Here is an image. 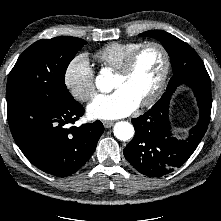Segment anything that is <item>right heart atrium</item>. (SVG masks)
Returning <instances> with one entry per match:
<instances>
[{"label": "right heart atrium", "instance_id": "obj_1", "mask_svg": "<svg viewBox=\"0 0 221 221\" xmlns=\"http://www.w3.org/2000/svg\"><path fill=\"white\" fill-rule=\"evenodd\" d=\"M65 84L79 101H87L94 96L95 71L86 55H78L70 61L65 71Z\"/></svg>", "mask_w": 221, "mask_h": 221}]
</instances>
